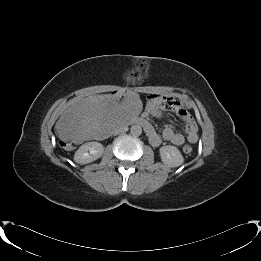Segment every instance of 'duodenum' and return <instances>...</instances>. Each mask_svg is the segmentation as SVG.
I'll return each mask as SVG.
<instances>
[{"instance_id":"1","label":"duodenum","mask_w":261,"mask_h":261,"mask_svg":"<svg viewBox=\"0 0 261 261\" xmlns=\"http://www.w3.org/2000/svg\"><path fill=\"white\" fill-rule=\"evenodd\" d=\"M135 123L142 126L147 134H150L153 130L152 125L145 118H142V117L137 118L135 120Z\"/></svg>"}]
</instances>
